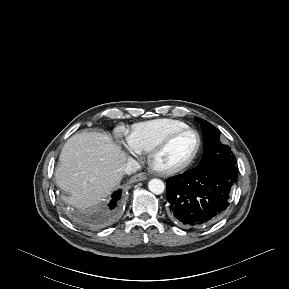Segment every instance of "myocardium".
<instances>
[{"instance_id":"1","label":"myocardium","mask_w":289,"mask_h":289,"mask_svg":"<svg viewBox=\"0 0 289 289\" xmlns=\"http://www.w3.org/2000/svg\"><path fill=\"white\" fill-rule=\"evenodd\" d=\"M185 132H192L197 137V146L193 154L183 163L172 166V167H160L156 163L157 156L169 145V143L178 135L185 133ZM202 148V137L200 133L192 128V127H185L176 129L169 134H167L164 138H162L150 151L148 154V163L152 170H154L156 173L160 175H173L176 173H179L185 169H187L189 166L193 164V162L198 157L200 151Z\"/></svg>"}]
</instances>
